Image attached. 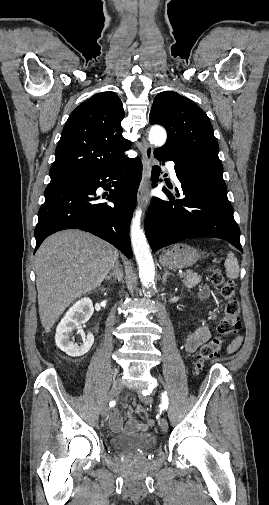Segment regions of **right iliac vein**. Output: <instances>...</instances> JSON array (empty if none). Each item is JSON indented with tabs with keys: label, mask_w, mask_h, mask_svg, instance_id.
<instances>
[{
	"label": "right iliac vein",
	"mask_w": 269,
	"mask_h": 505,
	"mask_svg": "<svg viewBox=\"0 0 269 505\" xmlns=\"http://www.w3.org/2000/svg\"><path fill=\"white\" fill-rule=\"evenodd\" d=\"M122 385H124V382H122V376H119V378L113 382V387L109 391V393L106 396L105 401L103 403L102 413H101L103 418H105L107 416L109 403L111 402V400L114 398V396L117 394L118 391H121L123 389Z\"/></svg>",
	"instance_id": "1"
}]
</instances>
